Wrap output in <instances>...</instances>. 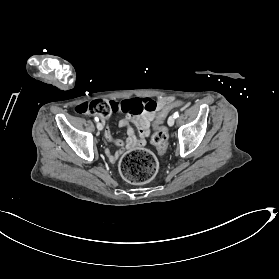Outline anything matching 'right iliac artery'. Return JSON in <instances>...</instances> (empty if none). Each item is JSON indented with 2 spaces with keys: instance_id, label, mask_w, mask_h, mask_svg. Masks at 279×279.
<instances>
[{
  "instance_id": "1",
  "label": "right iliac artery",
  "mask_w": 279,
  "mask_h": 279,
  "mask_svg": "<svg viewBox=\"0 0 279 279\" xmlns=\"http://www.w3.org/2000/svg\"><path fill=\"white\" fill-rule=\"evenodd\" d=\"M95 121H96V122H98V121H99L98 117H95Z\"/></svg>"
}]
</instances>
